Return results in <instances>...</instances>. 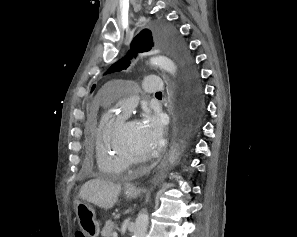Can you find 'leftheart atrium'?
<instances>
[{
  "label": "left heart atrium",
  "instance_id": "39dd6f15",
  "mask_svg": "<svg viewBox=\"0 0 297 237\" xmlns=\"http://www.w3.org/2000/svg\"><path fill=\"white\" fill-rule=\"evenodd\" d=\"M137 125L143 142L152 150L157 148L163 137V123L160 116L145 111Z\"/></svg>",
  "mask_w": 297,
  "mask_h": 237
}]
</instances>
